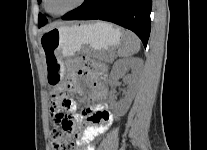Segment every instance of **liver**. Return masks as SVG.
<instances>
[{"label": "liver", "instance_id": "6515ba94", "mask_svg": "<svg viewBox=\"0 0 207 150\" xmlns=\"http://www.w3.org/2000/svg\"><path fill=\"white\" fill-rule=\"evenodd\" d=\"M62 24H64V23H63V22H53V23H51V24L45 26V27L42 29V31H43V32H46V31H48V30H50V29H52V28L58 27V26H60V25H62Z\"/></svg>", "mask_w": 207, "mask_h": 150}]
</instances>
